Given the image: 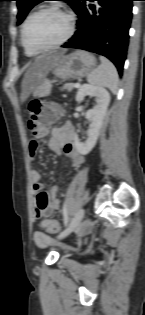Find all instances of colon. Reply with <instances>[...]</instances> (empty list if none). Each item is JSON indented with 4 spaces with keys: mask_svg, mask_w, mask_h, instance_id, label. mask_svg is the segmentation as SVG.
I'll use <instances>...</instances> for the list:
<instances>
[{
    "mask_svg": "<svg viewBox=\"0 0 145 315\" xmlns=\"http://www.w3.org/2000/svg\"><path fill=\"white\" fill-rule=\"evenodd\" d=\"M60 115V109L57 106L34 100L29 105L28 129L36 132L52 124ZM43 227L52 234L60 231V223L56 220H46Z\"/></svg>",
    "mask_w": 145,
    "mask_h": 315,
    "instance_id": "obj_1",
    "label": "colon"
}]
</instances>
